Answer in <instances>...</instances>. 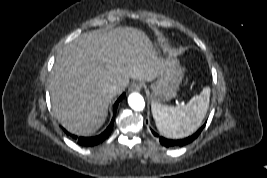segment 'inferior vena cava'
Returning <instances> with one entry per match:
<instances>
[{"label":"inferior vena cava","instance_id":"obj_1","mask_svg":"<svg viewBox=\"0 0 267 178\" xmlns=\"http://www.w3.org/2000/svg\"><path fill=\"white\" fill-rule=\"evenodd\" d=\"M107 92L112 95L115 96L116 94L119 93V87L115 84H111L107 87Z\"/></svg>","mask_w":267,"mask_h":178}]
</instances>
